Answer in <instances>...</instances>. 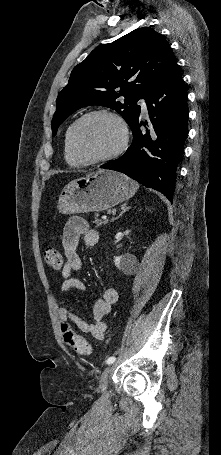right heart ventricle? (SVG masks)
Listing matches in <instances>:
<instances>
[{"mask_svg":"<svg viewBox=\"0 0 221 455\" xmlns=\"http://www.w3.org/2000/svg\"><path fill=\"white\" fill-rule=\"evenodd\" d=\"M71 124L65 132L64 135V157L67 161V163L72 166V167H80L83 163L74 155L72 149H71V144H70V134H71Z\"/></svg>","mask_w":221,"mask_h":455,"instance_id":"right-heart-ventricle-1","label":"right heart ventricle"}]
</instances>
